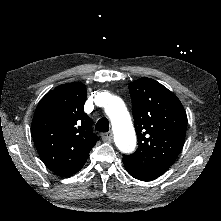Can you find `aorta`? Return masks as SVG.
Segmentation results:
<instances>
[{"instance_id":"762f6f07","label":"aorta","mask_w":221,"mask_h":221,"mask_svg":"<svg viewBox=\"0 0 221 221\" xmlns=\"http://www.w3.org/2000/svg\"><path fill=\"white\" fill-rule=\"evenodd\" d=\"M105 112L111 120L114 141L123 153H131L136 147V135L130 114L119 97H112L105 105Z\"/></svg>"}]
</instances>
